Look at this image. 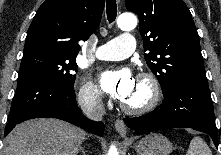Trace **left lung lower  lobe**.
<instances>
[{
    "instance_id": "left-lung-lower-lobe-1",
    "label": "left lung lower lobe",
    "mask_w": 221,
    "mask_h": 155,
    "mask_svg": "<svg viewBox=\"0 0 221 155\" xmlns=\"http://www.w3.org/2000/svg\"><path fill=\"white\" fill-rule=\"evenodd\" d=\"M124 122L134 131V135L166 128L190 127L210 135L218 147L206 76H191L178 81L164 96L160 106L146 115L125 118Z\"/></svg>"
}]
</instances>
